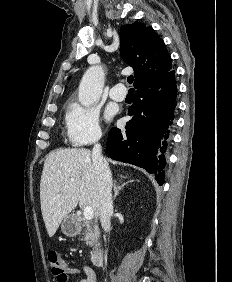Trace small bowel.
<instances>
[{
	"label": "small bowel",
	"mask_w": 232,
	"mask_h": 282,
	"mask_svg": "<svg viewBox=\"0 0 232 282\" xmlns=\"http://www.w3.org/2000/svg\"><path fill=\"white\" fill-rule=\"evenodd\" d=\"M68 273L80 276L78 282H97L95 272L86 265H82L80 269L69 270ZM57 282H68V275L66 274L64 279H57Z\"/></svg>",
	"instance_id": "c3829d8e"
}]
</instances>
